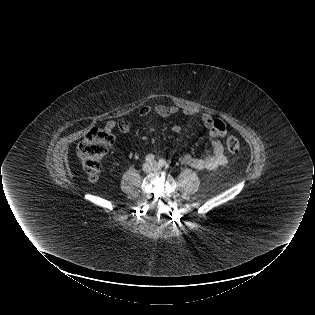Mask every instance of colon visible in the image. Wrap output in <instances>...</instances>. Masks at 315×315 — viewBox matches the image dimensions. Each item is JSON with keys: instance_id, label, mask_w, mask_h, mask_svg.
<instances>
[{"instance_id": "colon-1", "label": "colon", "mask_w": 315, "mask_h": 315, "mask_svg": "<svg viewBox=\"0 0 315 315\" xmlns=\"http://www.w3.org/2000/svg\"><path fill=\"white\" fill-rule=\"evenodd\" d=\"M112 143V132L104 128H94L79 144L77 153L90 180L97 178L102 160ZM226 147L229 152L236 154L240 150V142L235 136H229L226 140Z\"/></svg>"}]
</instances>
